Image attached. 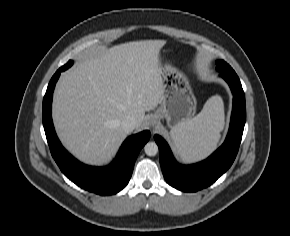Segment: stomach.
I'll list each match as a JSON object with an SVG mask.
<instances>
[{"label":"stomach","mask_w":290,"mask_h":236,"mask_svg":"<svg viewBox=\"0 0 290 236\" xmlns=\"http://www.w3.org/2000/svg\"><path fill=\"white\" fill-rule=\"evenodd\" d=\"M159 68L163 94L154 116L165 118L173 128L194 116L197 101L183 72L166 63H160Z\"/></svg>","instance_id":"0dacf381"}]
</instances>
